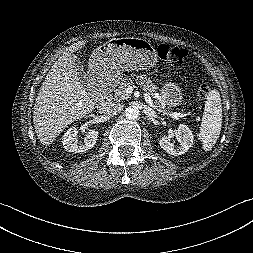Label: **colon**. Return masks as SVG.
I'll list each match as a JSON object with an SVG mask.
<instances>
[{
	"label": "colon",
	"mask_w": 253,
	"mask_h": 253,
	"mask_svg": "<svg viewBox=\"0 0 253 253\" xmlns=\"http://www.w3.org/2000/svg\"><path fill=\"white\" fill-rule=\"evenodd\" d=\"M158 57L166 64L179 66L183 63L186 56V50L181 47H174L167 44H161L157 49ZM210 93V87L207 84H201L198 88V96L205 99Z\"/></svg>",
	"instance_id": "obj_1"
}]
</instances>
